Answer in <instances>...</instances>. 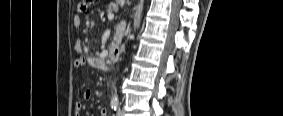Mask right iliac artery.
<instances>
[{"instance_id":"82829eb1","label":"right iliac artery","mask_w":283,"mask_h":116,"mask_svg":"<svg viewBox=\"0 0 283 116\" xmlns=\"http://www.w3.org/2000/svg\"><path fill=\"white\" fill-rule=\"evenodd\" d=\"M117 107H118V102H112L111 103V108L114 109L115 111H116Z\"/></svg>"}]
</instances>
